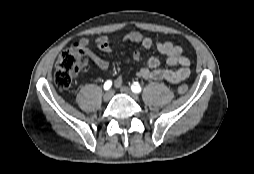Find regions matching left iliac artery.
Here are the masks:
<instances>
[{
    "mask_svg": "<svg viewBox=\"0 0 254 174\" xmlns=\"http://www.w3.org/2000/svg\"><path fill=\"white\" fill-rule=\"evenodd\" d=\"M131 90L134 92V93H140L142 88L141 86L139 85L138 82H135L132 86H131Z\"/></svg>",
    "mask_w": 254,
    "mask_h": 174,
    "instance_id": "1",
    "label": "left iliac artery"
}]
</instances>
